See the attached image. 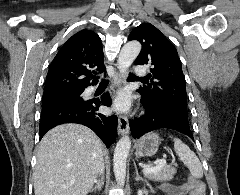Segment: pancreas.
<instances>
[{"instance_id":"obj_1","label":"pancreas","mask_w":240,"mask_h":195,"mask_svg":"<svg viewBox=\"0 0 240 195\" xmlns=\"http://www.w3.org/2000/svg\"><path fill=\"white\" fill-rule=\"evenodd\" d=\"M176 173V167H162L159 171H150V173H145L148 179H152V181H170L173 179V175Z\"/></svg>"}]
</instances>
